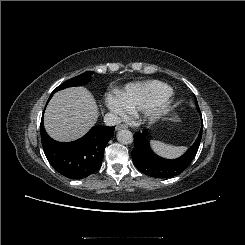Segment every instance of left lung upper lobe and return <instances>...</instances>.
Returning a JSON list of instances; mask_svg holds the SVG:
<instances>
[{
  "mask_svg": "<svg viewBox=\"0 0 245 245\" xmlns=\"http://www.w3.org/2000/svg\"><path fill=\"white\" fill-rule=\"evenodd\" d=\"M195 101H196V107H197V109H198V111H199V113H200V109H199V106H198L197 100L195 99Z\"/></svg>",
  "mask_w": 245,
  "mask_h": 245,
  "instance_id": "left-lung-upper-lobe-1",
  "label": "left lung upper lobe"
}]
</instances>
